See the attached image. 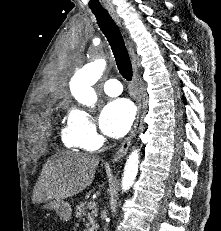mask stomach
Listing matches in <instances>:
<instances>
[{
  "mask_svg": "<svg viewBox=\"0 0 221 231\" xmlns=\"http://www.w3.org/2000/svg\"><path fill=\"white\" fill-rule=\"evenodd\" d=\"M42 208L45 210H54L58 216L64 220L69 221L72 217V208L71 205L64 200H49L44 202Z\"/></svg>",
  "mask_w": 221,
  "mask_h": 231,
  "instance_id": "0dacf381",
  "label": "stomach"
}]
</instances>
